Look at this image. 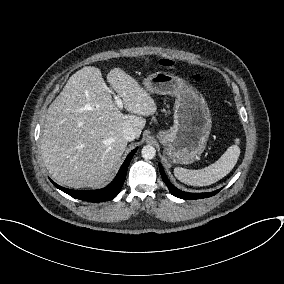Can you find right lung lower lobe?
<instances>
[{
	"label": "right lung lower lobe",
	"mask_w": 284,
	"mask_h": 284,
	"mask_svg": "<svg viewBox=\"0 0 284 284\" xmlns=\"http://www.w3.org/2000/svg\"><path fill=\"white\" fill-rule=\"evenodd\" d=\"M137 149H134L125 159L124 163L122 164L118 174L114 178V180L105 188L98 189V190H70L64 187H61L54 183L52 180L51 182L60 190L67 193L68 195L89 202H103L112 200L117 194L120 192L123 183L126 178V172L128 165L135 154Z\"/></svg>",
	"instance_id": "obj_1"
}]
</instances>
